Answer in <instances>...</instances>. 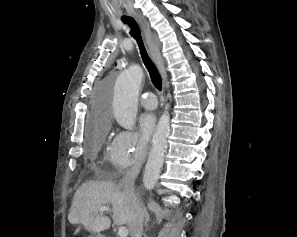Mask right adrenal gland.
Masks as SVG:
<instances>
[{
	"label": "right adrenal gland",
	"mask_w": 297,
	"mask_h": 237,
	"mask_svg": "<svg viewBox=\"0 0 297 237\" xmlns=\"http://www.w3.org/2000/svg\"><path fill=\"white\" fill-rule=\"evenodd\" d=\"M149 221H150V216H149V214L146 212V215H145V222H144L145 227H147V224H148Z\"/></svg>",
	"instance_id": "1"
}]
</instances>
